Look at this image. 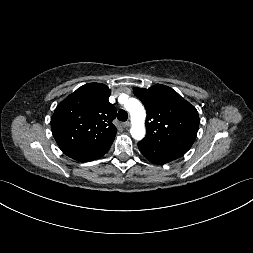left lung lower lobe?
<instances>
[{"mask_svg": "<svg viewBox=\"0 0 253 253\" xmlns=\"http://www.w3.org/2000/svg\"><path fill=\"white\" fill-rule=\"evenodd\" d=\"M138 148L143 156L154 164H165L184 155V153L176 150L148 145L141 141L138 143Z\"/></svg>", "mask_w": 253, "mask_h": 253, "instance_id": "1", "label": "left lung lower lobe"}]
</instances>
